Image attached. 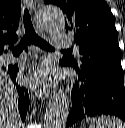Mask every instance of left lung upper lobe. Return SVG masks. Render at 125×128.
<instances>
[{
    "label": "left lung upper lobe",
    "instance_id": "5c2ea615",
    "mask_svg": "<svg viewBox=\"0 0 125 128\" xmlns=\"http://www.w3.org/2000/svg\"><path fill=\"white\" fill-rule=\"evenodd\" d=\"M66 14V31L74 32L82 57L63 58L76 71L90 76L106 69L122 70L121 50L113 14L105 0H44Z\"/></svg>",
    "mask_w": 125,
    "mask_h": 128
}]
</instances>
